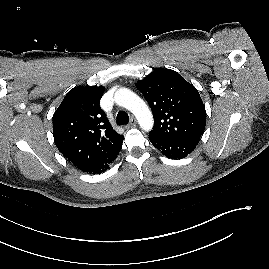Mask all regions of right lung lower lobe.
<instances>
[{
  "instance_id": "obj_1",
  "label": "right lung lower lobe",
  "mask_w": 269,
  "mask_h": 269,
  "mask_svg": "<svg viewBox=\"0 0 269 269\" xmlns=\"http://www.w3.org/2000/svg\"><path fill=\"white\" fill-rule=\"evenodd\" d=\"M122 142H123V139L118 144V146L114 148L111 152H109L106 156L94 162L93 164L83 169L82 171L89 174H98V173L106 171L109 168L112 161H114L117 155L119 154L121 150Z\"/></svg>"
}]
</instances>
